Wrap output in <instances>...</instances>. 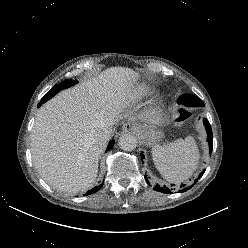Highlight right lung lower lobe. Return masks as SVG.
I'll use <instances>...</instances> for the list:
<instances>
[{"mask_svg":"<svg viewBox=\"0 0 248 248\" xmlns=\"http://www.w3.org/2000/svg\"><path fill=\"white\" fill-rule=\"evenodd\" d=\"M41 104L42 102L38 104V107L41 106ZM113 145H114V140H111L107 146V151H109L113 147ZM102 186H103V183L100 186H96L92 190L88 191L85 195H90V194L97 192Z\"/></svg>","mask_w":248,"mask_h":248,"instance_id":"98d812e1","label":"right lung lower lobe"}]
</instances>
